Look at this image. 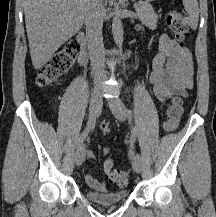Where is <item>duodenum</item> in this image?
<instances>
[{
    "label": "duodenum",
    "instance_id": "410a0bca",
    "mask_svg": "<svg viewBox=\"0 0 216 217\" xmlns=\"http://www.w3.org/2000/svg\"><path fill=\"white\" fill-rule=\"evenodd\" d=\"M77 41L80 46L78 59L80 64L84 65L88 58V46L84 34L82 33L77 34Z\"/></svg>",
    "mask_w": 216,
    "mask_h": 217
}]
</instances>
